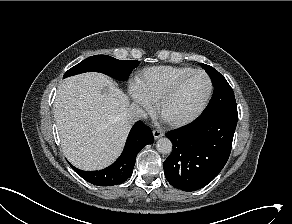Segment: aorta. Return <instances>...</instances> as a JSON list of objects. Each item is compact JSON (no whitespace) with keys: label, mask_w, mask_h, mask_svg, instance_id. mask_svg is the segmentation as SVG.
Here are the masks:
<instances>
[{"label":"aorta","mask_w":292,"mask_h":224,"mask_svg":"<svg viewBox=\"0 0 292 224\" xmlns=\"http://www.w3.org/2000/svg\"><path fill=\"white\" fill-rule=\"evenodd\" d=\"M156 148L162 154H170L172 152V142L168 138H160L156 143Z\"/></svg>","instance_id":"1"}]
</instances>
